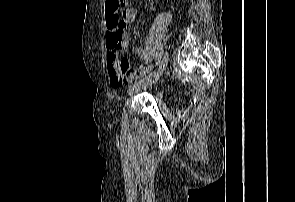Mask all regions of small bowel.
<instances>
[{
    "label": "small bowel",
    "mask_w": 295,
    "mask_h": 202,
    "mask_svg": "<svg viewBox=\"0 0 295 202\" xmlns=\"http://www.w3.org/2000/svg\"><path fill=\"white\" fill-rule=\"evenodd\" d=\"M137 13V9L128 8L124 10L118 27L111 29L107 25V62L109 64L110 81L114 88L121 86L124 81L131 82L138 77L144 76L149 70V67L141 66L135 72H133L131 63H128V59H124L125 50L128 46V35L126 28L128 25L134 22ZM112 17V15L106 14L107 22ZM112 32L115 33V38L111 36ZM136 53L143 59H147L149 57L148 49H136ZM116 62L117 67H115ZM113 75H118L120 77H113Z\"/></svg>",
    "instance_id": "1"
}]
</instances>
